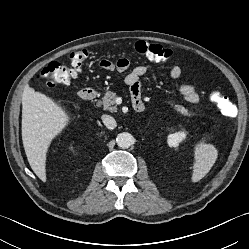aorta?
<instances>
[{
	"mask_svg": "<svg viewBox=\"0 0 249 249\" xmlns=\"http://www.w3.org/2000/svg\"><path fill=\"white\" fill-rule=\"evenodd\" d=\"M116 141H117V145L120 148L124 149V148H129L133 144L134 138L130 133L123 132L117 136Z\"/></svg>",
	"mask_w": 249,
	"mask_h": 249,
	"instance_id": "aorta-1",
	"label": "aorta"
}]
</instances>
